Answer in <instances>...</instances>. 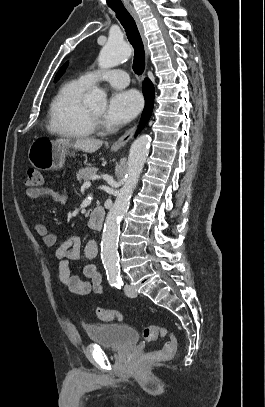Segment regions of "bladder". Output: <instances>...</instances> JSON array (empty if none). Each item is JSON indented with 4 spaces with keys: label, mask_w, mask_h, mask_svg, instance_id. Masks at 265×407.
I'll return each instance as SVG.
<instances>
[{
    "label": "bladder",
    "mask_w": 265,
    "mask_h": 407,
    "mask_svg": "<svg viewBox=\"0 0 265 407\" xmlns=\"http://www.w3.org/2000/svg\"><path fill=\"white\" fill-rule=\"evenodd\" d=\"M85 332L91 341L113 349L125 348L139 339L134 327L123 324H89Z\"/></svg>",
    "instance_id": "31cf9c89"
}]
</instances>
